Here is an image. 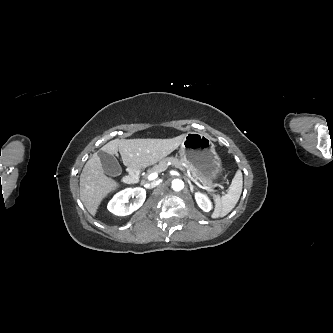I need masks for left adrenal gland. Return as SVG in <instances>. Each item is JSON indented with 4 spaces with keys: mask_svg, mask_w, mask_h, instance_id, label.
Returning <instances> with one entry per match:
<instances>
[{
    "mask_svg": "<svg viewBox=\"0 0 333 333\" xmlns=\"http://www.w3.org/2000/svg\"><path fill=\"white\" fill-rule=\"evenodd\" d=\"M187 181H188V184H189V186H190V191L193 193V192H194V188H195V186H193V184L191 183L190 180H187Z\"/></svg>",
    "mask_w": 333,
    "mask_h": 333,
    "instance_id": "1",
    "label": "left adrenal gland"
}]
</instances>
